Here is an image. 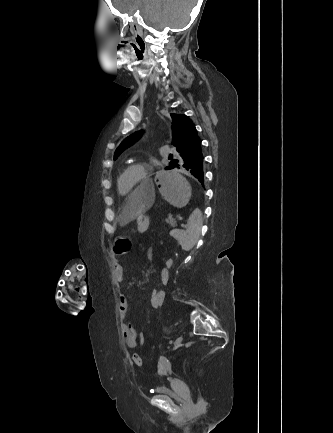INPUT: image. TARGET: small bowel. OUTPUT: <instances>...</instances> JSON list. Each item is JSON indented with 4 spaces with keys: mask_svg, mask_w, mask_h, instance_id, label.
I'll return each mask as SVG.
<instances>
[{
    "mask_svg": "<svg viewBox=\"0 0 333 433\" xmlns=\"http://www.w3.org/2000/svg\"><path fill=\"white\" fill-rule=\"evenodd\" d=\"M113 253H114V258H115L113 268H114L116 279L120 283L123 279V276H124V267L119 262L118 256L122 255L123 253H120V255H117L114 248H113ZM147 258L149 260L154 259V250L153 249L150 248L147 250ZM169 277H170L169 269H167V267L164 265L160 271L161 284L166 285L169 281ZM157 292L160 294L159 301L163 305V303L165 301V291L164 290H157ZM128 309H129L128 300H127L126 296L121 295L119 297V315H120L121 319H124L126 317V315L128 313ZM121 333L123 336L124 343L126 344V346L128 348H136L148 340V334L145 331H138L137 332L126 322H122V324H121Z\"/></svg>",
    "mask_w": 333,
    "mask_h": 433,
    "instance_id": "c3829d8e",
    "label": "small bowel"
}]
</instances>
